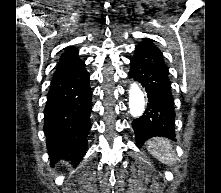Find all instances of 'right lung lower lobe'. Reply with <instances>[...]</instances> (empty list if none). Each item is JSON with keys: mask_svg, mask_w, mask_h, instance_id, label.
I'll list each match as a JSON object with an SVG mask.
<instances>
[{"mask_svg": "<svg viewBox=\"0 0 221 193\" xmlns=\"http://www.w3.org/2000/svg\"><path fill=\"white\" fill-rule=\"evenodd\" d=\"M89 77L85 64L53 76L43 127L53 164L66 159L77 165L86 152L92 109Z\"/></svg>", "mask_w": 221, "mask_h": 193, "instance_id": "98d812e1", "label": "right lung lower lobe"}]
</instances>
